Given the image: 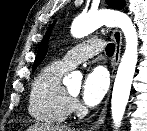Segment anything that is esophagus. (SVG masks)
Wrapping results in <instances>:
<instances>
[{
	"mask_svg": "<svg viewBox=\"0 0 147 131\" xmlns=\"http://www.w3.org/2000/svg\"><path fill=\"white\" fill-rule=\"evenodd\" d=\"M113 39L115 42V51H114V56L112 60V73H111V81H113L116 73L117 66L120 61V56H121V47H122V34L119 29H114L112 32ZM109 95H107V98L104 102V105L100 111L99 117L97 121L91 126L88 130L86 131H97L100 126L103 124L107 112V106H108V101H109Z\"/></svg>",
	"mask_w": 147,
	"mask_h": 131,
	"instance_id": "34e87169",
	"label": "esophagus"
}]
</instances>
